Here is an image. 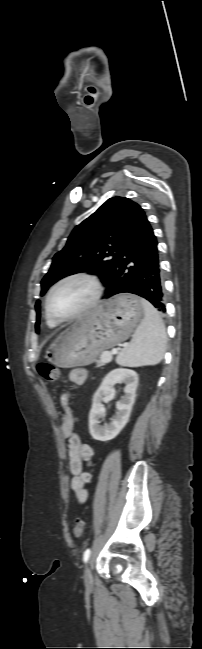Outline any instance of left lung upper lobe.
<instances>
[{"instance_id": "obj_1", "label": "left lung upper lobe", "mask_w": 202, "mask_h": 649, "mask_svg": "<svg viewBox=\"0 0 202 649\" xmlns=\"http://www.w3.org/2000/svg\"><path fill=\"white\" fill-rule=\"evenodd\" d=\"M144 216L143 209L128 198L108 199L75 227L66 246L53 257L51 268L41 281V295L57 280L83 270L100 271L105 275V281L110 283L125 240ZM35 308L38 333L39 300Z\"/></svg>"}]
</instances>
